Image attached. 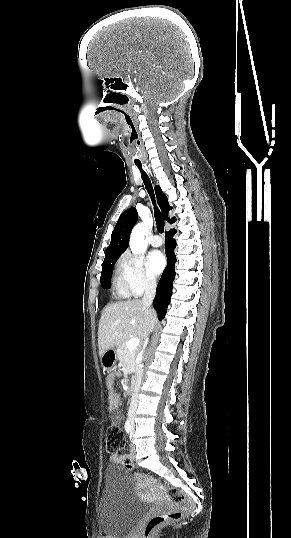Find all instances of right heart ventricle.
I'll list each match as a JSON object with an SVG mask.
<instances>
[{"instance_id":"right-heart-ventricle-1","label":"right heart ventricle","mask_w":291,"mask_h":538,"mask_svg":"<svg viewBox=\"0 0 291 538\" xmlns=\"http://www.w3.org/2000/svg\"><path fill=\"white\" fill-rule=\"evenodd\" d=\"M113 288H114L116 296L120 299H127L132 295L128 288V285L125 279V274L121 265L117 266L114 271Z\"/></svg>"}]
</instances>
